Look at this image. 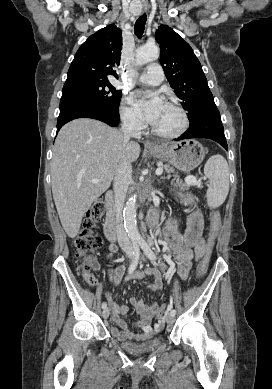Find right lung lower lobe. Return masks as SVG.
Instances as JSON below:
<instances>
[{
    "label": "right lung lower lobe",
    "mask_w": 272,
    "mask_h": 389,
    "mask_svg": "<svg viewBox=\"0 0 272 389\" xmlns=\"http://www.w3.org/2000/svg\"><path fill=\"white\" fill-rule=\"evenodd\" d=\"M57 131L67 122L77 118H93L117 126L120 121L118 109L108 108L96 101L84 98H64L60 101Z\"/></svg>",
    "instance_id": "1"
}]
</instances>
